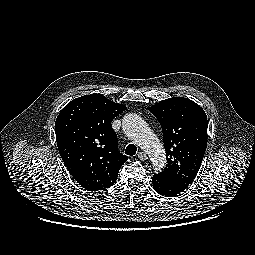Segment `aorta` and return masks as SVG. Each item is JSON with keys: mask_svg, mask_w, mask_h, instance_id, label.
I'll return each instance as SVG.
<instances>
[{"mask_svg": "<svg viewBox=\"0 0 255 255\" xmlns=\"http://www.w3.org/2000/svg\"><path fill=\"white\" fill-rule=\"evenodd\" d=\"M122 128L126 136L148 154L155 169L161 170L165 166L163 145L141 116L135 113L126 114Z\"/></svg>", "mask_w": 255, "mask_h": 255, "instance_id": "1", "label": "aorta"}]
</instances>
